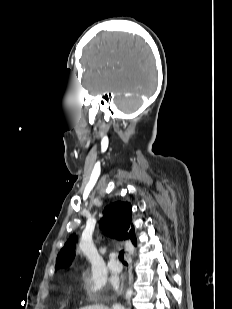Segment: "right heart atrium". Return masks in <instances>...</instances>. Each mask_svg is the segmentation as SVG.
<instances>
[{
  "label": "right heart atrium",
  "mask_w": 232,
  "mask_h": 309,
  "mask_svg": "<svg viewBox=\"0 0 232 309\" xmlns=\"http://www.w3.org/2000/svg\"><path fill=\"white\" fill-rule=\"evenodd\" d=\"M84 289L86 294L91 298V299H96L99 297L100 294V289L99 287L94 284L92 281L87 280L84 283Z\"/></svg>",
  "instance_id": "obj_1"
}]
</instances>
